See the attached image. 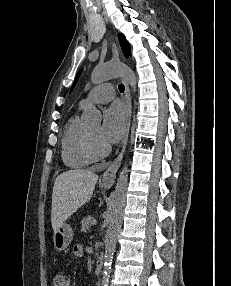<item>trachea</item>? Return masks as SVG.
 I'll return each instance as SVG.
<instances>
[{
    "instance_id": "3493384b",
    "label": "trachea",
    "mask_w": 231,
    "mask_h": 286,
    "mask_svg": "<svg viewBox=\"0 0 231 286\" xmlns=\"http://www.w3.org/2000/svg\"><path fill=\"white\" fill-rule=\"evenodd\" d=\"M118 89H119V91H120L121 93H123V92H124L125 87H124V85H123V84H119Z\"/></svg>"
}]
</instances>
